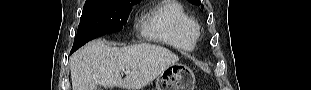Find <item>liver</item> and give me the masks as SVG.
Instances as JSON below:
<instances>
[{"label":"liver","mask_w":311,"mask_h":90,"mask_svg":"<svg viewBox=\"0 0 311 90\" xmlns=\"http://www.w3.org/2000/svg\"><path fill=\"white\" fill-rule=\"evenodd\" d=\"M178 60L170 50L149 43L119 48L91 41L70 58L72 88L96 90L102 85L140 90ZM122 71H129L124 80Z\"/></svg>","instance_id":"1"}]
</instances>
